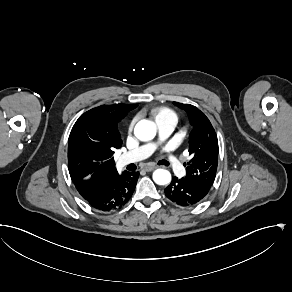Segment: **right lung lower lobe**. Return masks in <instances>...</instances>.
Returning <instances> with one entry per match:
<instances>
[{"mask_svg": "<svg viewBox=\"0 0 292 292\" xmlns=\"http://www.w3.org/2000/svg\"><path fill=\"white\" fill-rule=\"evenodd\" d=\"M139 172L115 174L105 179L74 185L79 194L95 209L112 211L124 206L135 190Z\"/></svg>", "mask_w": 292, "mask_h": 292, "instance_id": "1", "label": "right lung lower lobe"}]
</instances>
